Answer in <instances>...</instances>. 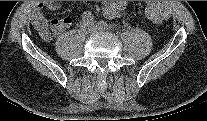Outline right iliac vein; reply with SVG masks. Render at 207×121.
Instances as JSON below:
<instances>
[{"mask_svg": "<svg viewBox=\"0 0 207 121\" xmlns=\"http://www.w3.org/2000/svg\"><path fill=\"white\" fill-rule=\"evenodd\" d=\"M81 28L86 33H91L93 30L92 25L88 22H85V21L82 22Z\"/></svg>", "mask_w": 207, "mask_h": 121, "instance_id": "63e3f726", "label": "right iliac vein"}]
</instances>
